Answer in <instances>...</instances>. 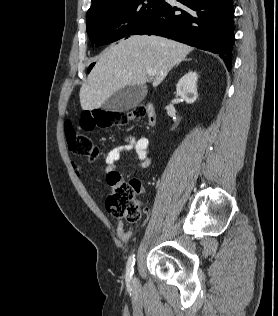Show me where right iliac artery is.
<instances>
[{
	"mask_svg": "<svg viewBox=\"0 0 278 316\" xmlns=\"http://www.w3.org/2000/svg\"><path fill=\"white\" fill-rule=\"evenodd\" d=\"M134 264H135V255H131L128 259V262H127V266H126V276H127V279L128 281L131 280V277L134 273Z\"/></svg>",
	"mask_w": 278,
	"mask_h": 316,
	"instance_id": "right-iliac-artery-1",
	"label": "right iliac artery"
}]
</instances>
